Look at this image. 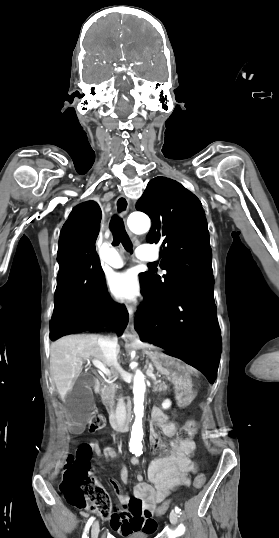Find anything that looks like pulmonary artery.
Segmentation results:
<instances>
[{
	"instance_id": "pulmonary-artery-1",
	"label": "pulmonary artery",
	"mask_w": 279,
	"mask_h": 538,
	"mask_svg": "<svg viewBox=\"0 0 279 538\" xmlns=\"http://www.w3.org/2000/svg\"><path fill=\"white\" fill-rule=\"evenodd\" d=\"M124 254L119 250H112L111 255L102 260V266L106 269L121 267L124 263Z\"/></svg>"
}]
</instances>
